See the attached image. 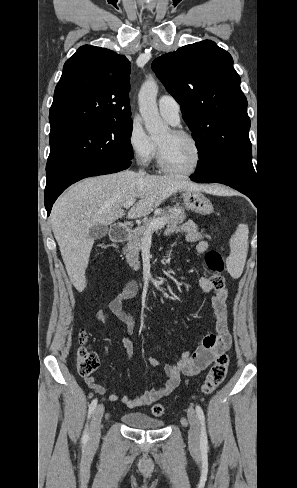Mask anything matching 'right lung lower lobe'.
<instances>
[{"label": "right lung lower lobe", "mask_w": 297, "mask_h": 488, "mask_svg": "<svg viewBox=\"0 0 297 488\" xmlns=\"http://www.w3.org/2000/svg\"><path fill=\"white\" fill-rule=\"evenodd\" d=\"M131 165V161H117V162H101L90 164L77 169L76 171L70 173L69 175L63 177L57 183L51 187H46L44 198H45V208L48 215L50 214L51 208L57 197L71 184L91 176L104 175L115 173L124 169H127Z\"/></svg>", "instance_id": "1"}]
</instances>
